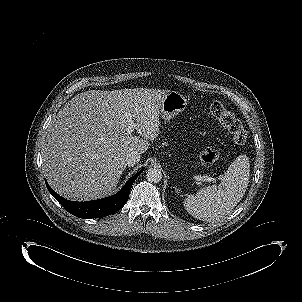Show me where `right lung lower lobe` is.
<instances>
[{"label": "right lung lower lobe", "mask_w": 302, "mask_h": 302, "mask_svg": "<svg viewBox=\"0 0 302 302\" xmlns=\"http://www.w3.org/2000/svg\"><path fill=\"white\" fill-rule=\"evenodd\" d=\"M142 170L132 176L123 188L114 196L104 199L86 201V202H74L64 199L59 196L46 182V186L49 192L57 199V201L71 214L79 218H99L107 215H111L120 210L127 202L129 198L130 189L141 174Z\"/></svg>", "instance_id": "obj_1"}]
</instances>
